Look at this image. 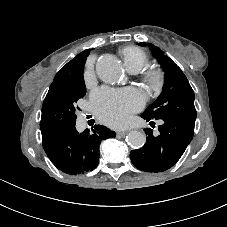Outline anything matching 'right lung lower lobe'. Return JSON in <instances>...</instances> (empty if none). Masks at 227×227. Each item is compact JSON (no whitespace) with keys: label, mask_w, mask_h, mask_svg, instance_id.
<instances>
[{"label":"right lung lower lobe","mask_w":227,"mask_h":227,"mask_svg":"<svg viewBox=\"0 0 227 227\" xmlns=\"http://www.w3.org/2000/svg\"><path fill=\"white\" fill-rule=\"evenodd\" d=\"M115 137L105 126L79 133L75 125L60 127L42 136L43 148L51 162L62 172L77 175L92 171L99 162L100 142Z\"/></svg>","instance_id":"98d812e1"}]
</instances>
